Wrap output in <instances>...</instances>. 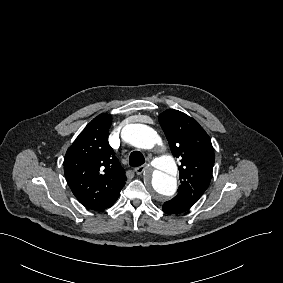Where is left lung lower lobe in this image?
I'll return each instance as SVG.
<instances>
[{
  "instance_id": "0a47b994",
  "label": "left lung lower lobe",
  "mask_w": 283,
  "mask_h": 283,
  "mask_svg": "<svg viewBox=\"0 0 283 283\" xmlns=\"http://www.w3.org/2000/svg\"><path fill=\"white\" fill-rule=\"evenodd\" d=\"M190 208L191 207L189 206H173V205H168V204H164L162 206V210L164 212L171 213V214H179V213L187 211Z\"/></svg>"
}]
</instances>
